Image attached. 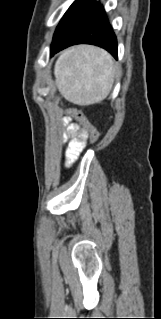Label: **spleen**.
I'll list each match as a JSON object with an SVG mask.
<instances>
[{
    "instance_id": "3e777b00",
    "label": "spleen",
    "mask_w": 161,
    "mask_h": 319,
    "mask_svg": "<svg viewBox=\"0 0 161 319\" xmlns=\"http://www.w3.org/2000/svg\"><path fill=\"white\" fill-rule=\"evenodd\" d=\"M54 73L61 95L69 102L85 106L108 96L115 68L109 53L82 45L64 51L55 64Z\"/></svg>"
}]
</instances>
